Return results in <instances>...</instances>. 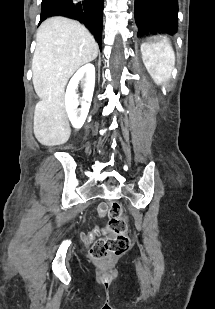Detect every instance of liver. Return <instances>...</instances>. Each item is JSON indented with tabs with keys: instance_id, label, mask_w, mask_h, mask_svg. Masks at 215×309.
<instances>
[{
	"instance_id": "obj_1",
	"label": "liver",
	"mask_w": 215,
	"mask_h": 309,
	"mask_svg": "<svg viewBox=\"0 0 215 309\" xmlns=\"http://www.w3.org/2000/svg\"><path fill=\"white\" fill-rule=\"evenodd\" d=\"M98 44L84 24L52 16L40 24L32 58V80L39 98L34 134L46 146L67 142L71 128L64 104L65 86L82 64L94 60Z\"/></svg>"
}]
</instances>
